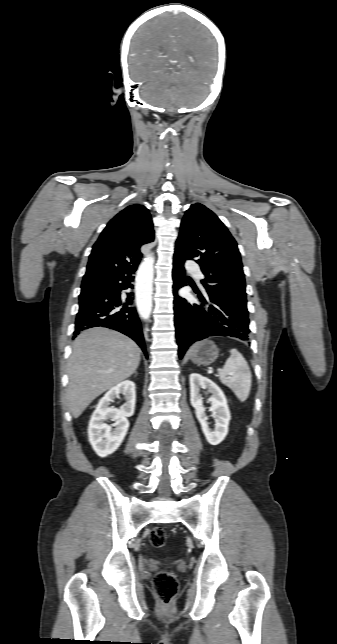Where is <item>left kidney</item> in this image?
I'll use <instances>...</instances> for the list:
<instances>
[{"mask_svg": "<svg viewBox=\"0 0 337 644\" xmlns=\"http://www.w3.org/2000/svg\"><path fill=\"white\" fill-rule=\"evenodd\" d=\"M189 380L190 402L195 409L196 417L201 424L202 431L211 445H218L226 437L228 433V425L231 419L227 399L220 387L210 379L200 374L192 373L189 376ZM200 388L207 389L208 392L212 394L209 401L211 402V411L214 414L213 417L215 418L214 430L210 429L208 426V417L206 416L205 408L203 407V398L200 395Z\"/></svg>", "mask_w": 337, "mask_h": 644, "instance_id": "obj_1", "label": "left kidney"}]
</instances>
